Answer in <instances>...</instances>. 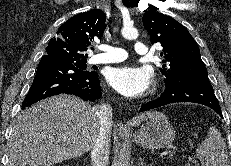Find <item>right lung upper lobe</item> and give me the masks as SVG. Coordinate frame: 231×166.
Wrapping results in <instances>:
<instances>
[{"label":"right lung upper lobe","instance_id":"1","mask_svg":"<svg viewBox=\"0 0 231 166\" xmlns=\"http://www.w3.org/2000/svg\"><path fill=\"white\" fill-rule=\"evenodd\" d=\"M101 10L77 14L62 24L46 48V56L60 60H86V51L95 39H101L106 28Z\"/></svg>","mask_w":231,"mask_h":166}]
</instances>
